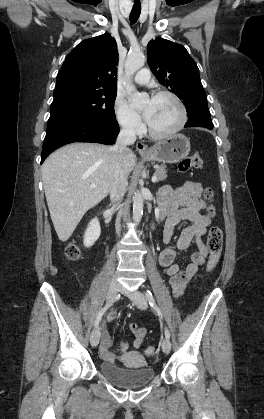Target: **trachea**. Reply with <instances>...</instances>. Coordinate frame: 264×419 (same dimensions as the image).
Segmentation results:
<instances>
[{"instance_id": "3493384b", "label": "trachea", "mask_w": 264, "mask_h": 419, "mask_svg": "<svg viewBox=\"0 0 264 419\" xmlns=\"http://www.w3.org/2000/svg\"><path fill=\"white\" fill-rule=\"evenodd\" d=\"M140 13H141V5L140 4H134L133 8H132V11L130 13V22L132 24L135 23L138 20V18L140 16Z\"/></svg>"}]
</instances>
